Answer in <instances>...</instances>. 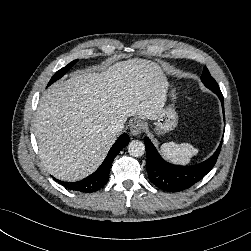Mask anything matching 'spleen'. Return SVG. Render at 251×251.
<instances>
[{
  "instance_id": "spleen-1",
  "label": "spleen",
  "mask_w": 251,
  "mask_h": 251,
  "mask_svg": "<svg viewBox=\"0 0 251 251\" xmlns=\"http://www.w3.org/2000/svg\"><path fill=\"white\" fill-rule=\"evenodd\" d=\"M161 154L167 160L176 164H189L191 157L198 153V149L188 143L177 144L168 142L161 146Z\"/></svg>"
}]
</instances>
